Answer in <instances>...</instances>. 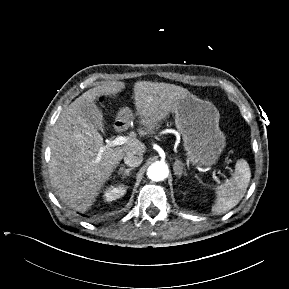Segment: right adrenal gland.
Here are the masks:
<instances>
[{
  "instance_id": "obj_1",
  "label": "right adrenal gland",
  "mask_w": 289,
  "mask_h": 289,
  "mask_svg": "<svg viewBox=\"0 0 289 289\" xmlns=\"http://www.w3.org/2000/svg\"><path fill=\"white\" fill-rule=\"evenodd\" d=\"M133 170V168H124L123 166L120 167L118 175H123V177L129 176L130 175V171Z\"/></svg>"
}]
</instances>
